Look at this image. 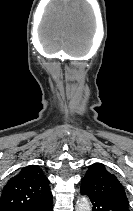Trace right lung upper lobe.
<instances>
[{
  "label": "right lung upper lobe",
  "instance_id": "right-lung-upper-lobe-1",
  "mask_svg": "<svg viewBox=\"0 0 133 211\" xmlns=\"http://www.w3.org/2000/svg\"><path fill=\"white\" fill-rule=\"evenodd\" d=\"M52 197L49 180L38 165H30L12 177L0 197V211H28Z\"/></svg>",
  "mask_w": 133,
  "mask_h": 211
}]
</instances>
